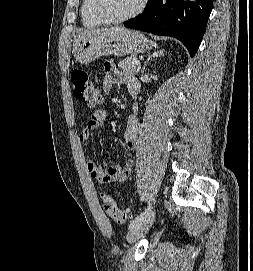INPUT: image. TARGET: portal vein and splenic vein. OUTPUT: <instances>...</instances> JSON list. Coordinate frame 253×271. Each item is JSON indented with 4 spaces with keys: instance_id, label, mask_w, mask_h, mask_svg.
Masks as SVG:
<instances>
[{
    "instance_id": "1",
    "label": "portal vein and splenic vein",
    "mask_w": 253,
    "mask_h": 271,
    "mask_svg": "<svg viewBox=\"0 0 253 271\" xmlns=\"http://www.w3.org/2000/svg\"><path fill=\"white\" fill-rule=\"evenodd\" d=\"M135 64L139 66V65H140V61L137 60V61L135 62Z\"/></svg>"
}]
</instances>
